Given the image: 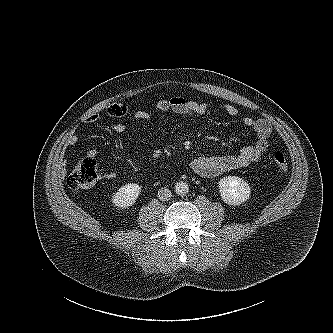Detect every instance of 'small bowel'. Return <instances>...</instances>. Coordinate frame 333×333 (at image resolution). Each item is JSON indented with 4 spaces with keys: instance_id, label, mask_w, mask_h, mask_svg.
<instances>
[{
    "instance_id": "c3829d8e",
    "label": "small bowel",
    "mask_w": 333,
    "mask_h": 333,
    "mask_svg": "<svg viewBox=\"0 0 333 333\" xmlns=\"http://www.w3.org/2000/svg\"><path fill=\"white\" fill-rule=\"evenodd\" d=\"M156 108L163 113L172 112L180 115L189 116L195 119L200 118L209 111V105L204 102H197L186 99L182 96H174L168 99H161L156 102ZM224 112L230 117H237L239 110L232 104L223 105ZM107 114L111 117H124L128 111L126 103H116L108 106ZM136 120L148 122L151 120V115L147 111L137 110L133 113ZM98 114L89 116L86 121L95 123L99 120ZM244 126L249 128L255 135V143L244 147L236 155H221L217 157H197L190 162L191 170L198 176L204 178L217 177L227 171L234 169L245 168L250 164L259 161L269 150V138L272 132L271 124L266 119H256L251 116H246L242 119ZM128 127L120 122L111 125V130L114 133L121 134L126 132ZM78 143V137L71 134L66 141L68 146H75ZM92 155H96V151H92ZM107 179L116 177L114 172H109L105 175Z\"/></svg>"
}]
</instances>
